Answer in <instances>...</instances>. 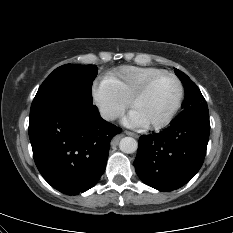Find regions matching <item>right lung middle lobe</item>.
I'll list each match as a JSON object with an SVG mask.
<instances>
[{"mask_svg": "<svg viewBox=\"0 0 233 233\" xmlns=\"http://www.w3.org/2000/svg\"><path fill=\"white\" fill-rule=\"evenodd\" d=\"M96 75L95 65L58 67L41 84L30 113L59 106L93 105L91 87Z\"/></svg>", "mask_w": 233, "mask_h": 233, "instance_id": "right-lung-middle-lobe-1", "label": "right lung middle lobe"}]
</instances>
